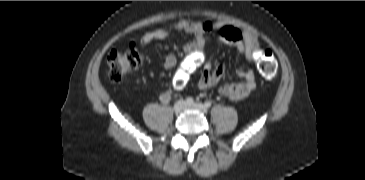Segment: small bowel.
Instances as JSON below:
<instances>
[{"label":"small bowel","instance_id":"obj_1","mask_svg":"<svg viewBox=\"0 0 365 180\" xmlns=\"http://www.w3.org/2000/svg\"><path fill=\"white\" fill-rule=\"evenodd\" d=\"M214 30L219 31L220 42L234 46L239 57L245 58L250 63L254 62L256 54L261 49L259 37L250 31L226 23L182 19L166 28L146 32L141 38V45L166 39L173 31H184L193 35L192 42L183 46L186 58L174 78V83L176 86L183 85L194 70L200 69L201 75L197 81V87L201 90H209L226 77L225 66L222 64L213 65L206 57V36ZM176 64V56L168 54L164 61L165 68L172 69ZM236 73L241 81H230L218 90L221 96L230 101H239L246 98L256 87L255 72L251 68L240 67L236 70ZM171 97L172 93L166 91L161 95V101L167 103Z\"/></svg>","mask_w":365,"mask_h":180}]
</instances>
